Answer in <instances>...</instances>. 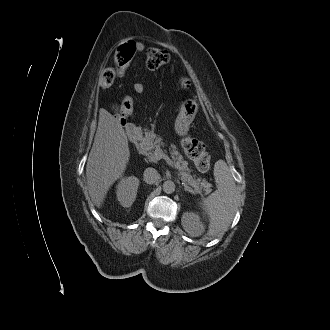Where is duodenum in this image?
Returning a JSON list of instances; mask_svg holds the SVG:
<instances>
[{
	"instance_id": "obj_1",
	"label": "duodenum",
	"mask_w": 330,
	"mask_h": 330,
	"mask_svg": "<svg viewBox=\"0 0 330 330\" xmlns=\"http://www.w3.org/2000/svg\"><path fill=\"white\" fill-rule=\"evenodd\" d=\"M125 130H126V135L130 141L136 142L140 139L141 132L134 125L132 124L127 125Z\"/></svg>"
}]
</instances>
